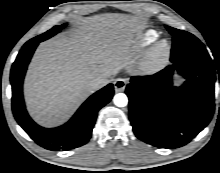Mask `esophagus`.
Returning <instances> with one entry per match:
<instances>
[{
    "mask_svg": "<svg viewBox=\"0 0 220 173\" xmlns=\"http://www.w3.org/2000/svg\"><path fill=\"white\" fill-rule=\"evenodd\" d=\"M127 80L118 78L114 82V88L116 92H123L126 88Z\"/></svg>",
    "mask_w": 220,
    "mask_h": 173,
    "instance_id": "1",
    "label": "esophagus"
}]
</instances>
